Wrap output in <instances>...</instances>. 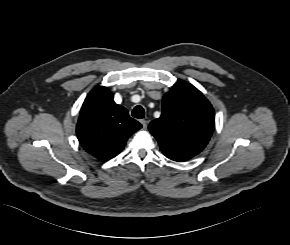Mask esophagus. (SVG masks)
Instances as JSON below:
<instances>
[{"label":"esophagus","mask_w":290,"mask_h":245,"mask_svg":"<svg viewBox=\"0 0 290 245\" xmlns=\"http://www.w3.org/2000/svg\"><path fill=\"white\" fill-rule=\"evenodd\" d=\"M140 123L142 124L143 128L146 129L147 128V125H148V121L145 120V119H141L140 120Z\"/></svg>","instance_id":"34e87169"}]
</instances>
